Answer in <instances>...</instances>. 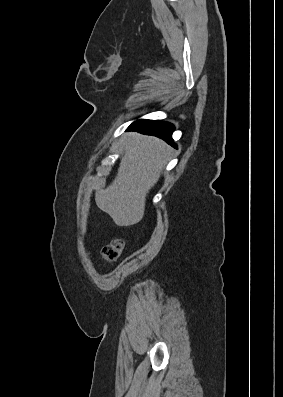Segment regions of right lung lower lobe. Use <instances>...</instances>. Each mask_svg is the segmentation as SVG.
<instances>
[{
  "mask_svg": "<svg viewBox=\"0 0 283 397\" xmlns=\"http://www.w3.org/2000/svg\"><path fill=\"white\" fill-rule=\"evenodd\" d=\"M128 130L138 131L142 134L160 137L172 146L176 147L171 137L174 131V126L168 122L154 120H137L130 125Z\"/></svg>",
  "mask_w": 283,
  "mask_h": 397,
  "instance_id": "1",
  "label": "right lung lower lobe"
}]
</instances>
